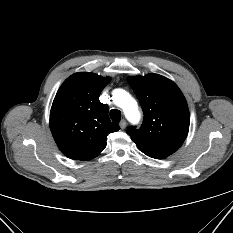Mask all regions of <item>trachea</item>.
Listing matches in <instances>:
<instances>
[{"instance_id": "3493384b", "label": "trachea", "mask_w": 233, "mask_h": 233, "mask_svg": "<svg viewBox=\"0 0 233 233\" xmlns=\"http://www.w3.org/2000/svg\"><path fill=\"white\" fill-rule=\"evenodd\" d=\"M110 117L113 122H120L121 120V112L117 109H112L110 111Z\"/></svg>"}]
</instances>
